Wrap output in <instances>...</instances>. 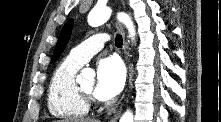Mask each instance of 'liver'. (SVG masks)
I'll use <instances>...</instances> for the list:
<instances>
[{
    "mask_svg": "<svg viewBox=\"0 0 221 122\" xmlns=\"http://www.w3.org/2000/svg\"><path fill=\"white\" fill-rule=\"evenodd\" d=\"M59 122H100V121L90 118H81V119H66Z\"/></svg>",
    "mask_w": 221,
    "mask_h": 122,
    "instance_id": "obj_1",
    "label": "liver"
}]
</instances>
